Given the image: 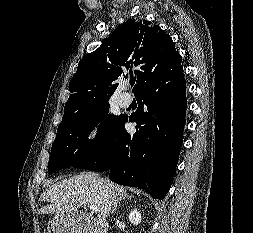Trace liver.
Returning <instances> with one entry per match:
<instances>
[{
	"instance_id": "6515ba94",
	"label": "liver",
	"mask_w": 253,
	"mask_h": 233,
	"mask_svg": "<svg viewBox=\"0 0 253 233\" xmlns=\"http://www.w3.org/2000/svg\"><path fill=\"white\" fill-rule=\"evenodd\" d=\"M127 196L126 189L108 179L97 178L91 173L65 178L47 188L40 197L49 202L39 209L40 214H76L82 206L95 205L98 219L105 223L111 206Z\"/></svg>"
}]
</instances>
